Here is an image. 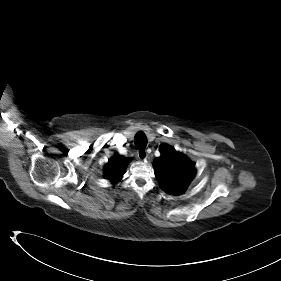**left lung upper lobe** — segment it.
Here are the masks:
<instances>
[{"label":"left lung upper lobe","mask_w":281,"mask_h":281,"mask_svg":"<svg viewBox=\"0 0 281 281\" xmlns=\"http://www.w3.org/2000/svg\"><path fill=\"white\" fill-rule=\"evenodd\" d=\"M161 156L153 162L161 188L172 195L183 194L195 176V165L182 153L167 145L159 147Z\"/></svg>","instance_id":"left-lung-upper-lobe-1"}]
</instances>
